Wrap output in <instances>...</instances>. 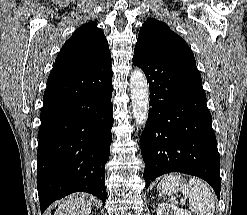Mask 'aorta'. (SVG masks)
<instances>
[{
    "mask_svg": "<svg viewBox=\"0 0 247 215\" xmlns=\"http://www.w3.org/2000/svg\"><path fill=\"white\" fill-rule=\"evenodd\" d=\"M132 112L137 126H145L149 111V85L143 71L135 68L130 77Z\"/></svg>",
    "mask_w": 247,
    "mask_h": 215,
    "instance_id": "obj_1",
    "label": "aorta"
}]
</instances>
